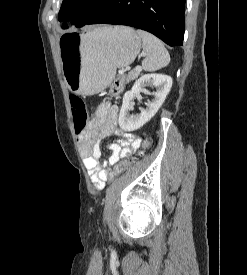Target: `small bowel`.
I'll use <instances>...</instances> for the list:
<instances>
[{
  "label": "small bowel",
  "instance_id": "1",
  "mask_svg": "<svg viewBox=\"0 0 247 275\" xmlns=\"http://www.w3.org/2000/svg\"><path fill=\"white\" fill-rule=\"evenodd\" d=\"M119 109L108 103L100 104L92 117L88 129L79 136L78 143L94 187L104 188L113 165L120 159L130 156L141 145V137L133 133H125L118 127ZM111 135L116 140L109 144L111 155L101 162L100 141Z\"/></svg>",
  "mask_w": 247,
  "mask_h": 275
}]
</instances>
